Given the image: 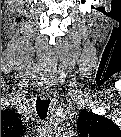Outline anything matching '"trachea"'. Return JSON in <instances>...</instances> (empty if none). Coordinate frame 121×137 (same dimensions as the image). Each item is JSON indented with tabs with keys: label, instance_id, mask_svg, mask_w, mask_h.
I'll return each instance as SVG.
<instances>
[{
	"label": "trachea",
	"instance_id": "trachea-1",
	"mask_svg": "<svg viewBox=\"0 0 121 137\" xmlns=\"http://www.w3.org/2000/svg\"><path fill=\"white\" fill-rule=\"evenodd\" d=\"M49 102V99L42 100L40 98H38L36 101V111L41 119H45V117L47 116Z\"/></svg>",
	"mask_w": 121,
	"mask_h": 137
}]
</instances>
